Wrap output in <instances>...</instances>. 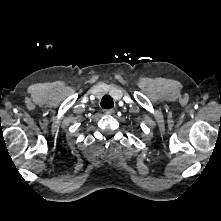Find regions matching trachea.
Masks as SVG:
<instances>
[{
    "instance_id": "3493384b",
    "label": "trachea",
    "mask_w": 221,
    "mask_h": 221,
    "mask_svg": "<svg viewBox=\"0 0 221 221\" xmlns=\"http://www.w3.org/2000/svg\"><path fill=\"white\" fill-rule=\"evenodd\" d=\"M101 107L105 109H110L114 107L113 99L109 95H105L101 100Z\"/></svg>"
}]
</instances>
